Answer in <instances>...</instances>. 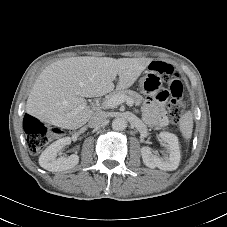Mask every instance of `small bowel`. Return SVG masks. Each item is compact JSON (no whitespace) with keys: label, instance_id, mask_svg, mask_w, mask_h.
I'll return each mask as SVG.
<instances>
[{"label":"small bowel","instance_id":"obj_1","mask_svg":"<svg viewBox=\"0 0 227 227\" xmlns=\"http://www.w3.org/2000/svg\"><path fill=\"white\" fill-rule=\"evenodd\" d=\"M165 63V62H164ZM170 96L168 89H163L156 94V99H148L145 103L147 117L152 124L164 126L168 119L164 110V100Z\"/></svg>","mask_w":227,"mask_h":227}]
</instances>
